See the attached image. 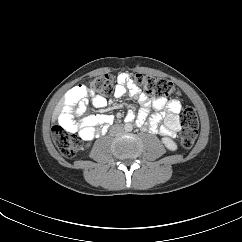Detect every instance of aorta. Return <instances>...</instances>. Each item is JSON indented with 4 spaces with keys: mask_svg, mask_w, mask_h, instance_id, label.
I'll use <instances>...</instances> for the list:
<instances>
[{
    "mask_svg": "<svg viewBox=\"0 0 242 242\" xmlns=\"http://www.w3.org/2000/svg\"><path fill=\"white\" fill-rule=\"evenodd\" d=\"M124 129L129 132V131H132L133 127L131 124H126Z\"/></svg>",
    "mask_w": 242,
    "mask_h": 242,
    "instance_id": "aorta-1",
    "label": "aorta"
}]
</instances>
